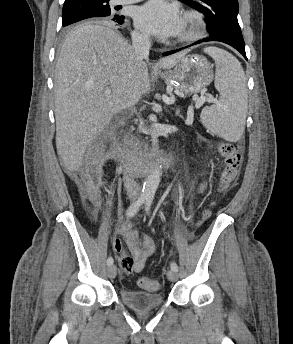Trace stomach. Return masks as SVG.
<instances>
[{
    "mask_svg": "<svg viewBox=\"0 0 293 344\" xmlns=\"http://www.w3.org/2000/svg\"><path fill=\"white\" fill-rule=\"evenodd\" d=\"M163 78L185 95L200 92L212 79V67L202 55H185Z\"/></svg>",
    "mask_w": 293,
    "mask_h": 344,
    "instance_id": "stomach-1",
    "label": "stomach"
}]
</instances>
